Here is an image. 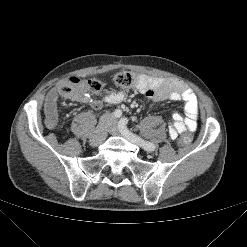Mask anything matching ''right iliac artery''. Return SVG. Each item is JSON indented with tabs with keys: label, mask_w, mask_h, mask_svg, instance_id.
Here are the masks:
<instances>
[{
	"label": "right iliac artery",
	"mask_w": 247,
	"mask_h": 247,
	"mask_svg": "<svg viewBox=\"0 0 247 247\" xmlns=\"http://www.w3.org/2000/svg\"><path fill=\"white\" fill-rule=\"evenodd\" d=\"M113 115H114V117L119 118L122 115V111L117 109L114 111Z\"/></svg>",
	"instance_id": "1"
}]
</instances>
